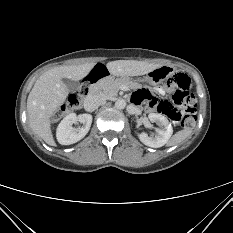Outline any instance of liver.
Wrapping results in <instances>:
<instances>
[{
    "mask_svg": "<svg viewBox=\"0 0 233 233\" xmlns=\"http://www.w3.org/2000/svg\"><path fill=\"white\" fill-rule=\"evenodd\" d=\"M95 63L59 66L44 72L35 82L27 99V115L31 129L48 145L55 146L50 118L66 100L69 90L64 78L79 81L86 77ZM159 64L134 60L108 62L106 67L115 76H141L160 67Z\"/></svg>",
    "mask_w": 233,
    "mask_h": 233,
    "instance_id": "6515ba94",
    "label": "liver"
}]
</instances>
